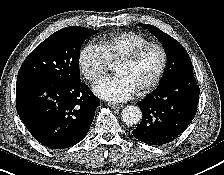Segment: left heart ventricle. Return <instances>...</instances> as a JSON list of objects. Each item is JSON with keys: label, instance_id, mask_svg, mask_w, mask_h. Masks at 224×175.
<instances>
[{"label": "left heart ventricle", "instance_id": "obj_1", "mask_svg": "<svg viewBox=\"0 0 224 175\" xmlns=\"http://www.w3.org/2000/svg\"><path fill=\"white\" fill-rule=\"evenodd\" d=\"M160 59L158 50L149 49L132 65L117 63L114 72L116 75L126 77L137 90L154 77L159 68Z\"/></svg>", "mask_w": 224, "mask_h": 175}]
</instances>
